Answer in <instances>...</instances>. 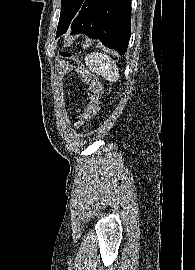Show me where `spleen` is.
Instances as JSON below:
<instances>
[{"label":"spleen","instance_id":"1","mask_svg":"<svg viewBox=\"0 0 195 270\" xmlns=\"http://www.w3.org/2000/svg\"><path fill=\"white\" fill-rule=\"evenodd\" d=\"M85 63L90 71L102 76L110 82H117L120 79L119 68L110 56L91 52L85 56Z\"/></svg>","mask_w":195,"mask_h":270}]
</instances>
